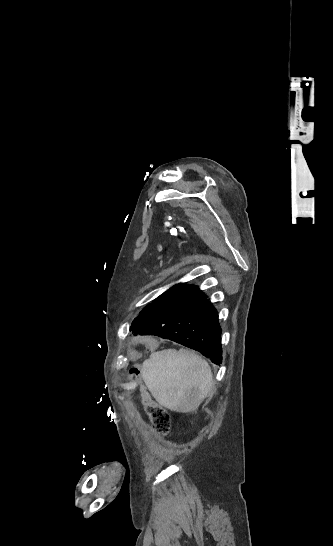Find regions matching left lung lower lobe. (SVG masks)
I'll use <instances>...</instances> for the list:
<instances>
[{
    "label": "left lung lower lobe",
    "instance_id": "1",
    "mask_svg": "<svg viewBox=\"0 0 333 546\" xmlns=\"http://www.w3.org/2000/svg\"><path fill=\"white\" fill-rule=\"evenodd\" d=\"M130 331L135 335H156L175 341L199 351L216 365L222 363L218 312L194 285L160 308L142 327L138 328L133 321Z\"/></svg>",
    "mask_w": 333,
    "mask_h": 546
}]
</instances>
